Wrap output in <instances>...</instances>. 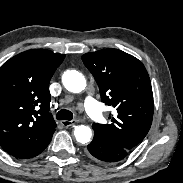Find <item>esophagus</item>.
Listing matches in <instances>:
<instances>
[{
    "instance_id": "obj_1",
    "label": "esophagus",
    "mask_w": 183,
    "mask_h": 183,
    "mask_svg": "<svg viewBox=\"0 0 183 183\" xmlns=\"http://www.w3.org/2000/svg\"><path fill=\"white\" fill-rule=\"evenodd\" d=\"M76 122H77L76 120H71V121L64 120V121H61L60 123L64 127H71V126H74Z\"/></svg>"
}]
</instances>
